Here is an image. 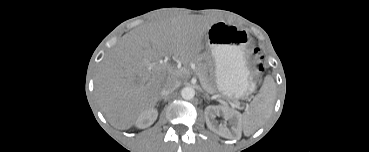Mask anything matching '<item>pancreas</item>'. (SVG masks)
<instances>
[{
    "label": "pancreas",
    "mask_w": 369,
    "mask_h": 152,
    "mask_svg": "<svg viewBox=\"0 0 369 152\" xmlns=\"http://www.w3.org/2000/svg\"><path fill=\"white\" fill-rule=\"evenodd\" d=\"M198 77L201 80V84L202 87L208 92V93H215L216 92V88L213 85V83L206 78V76L203 74V72H198Z\"/></svg>",
    "instance_id": "1"
}]
</instances>
